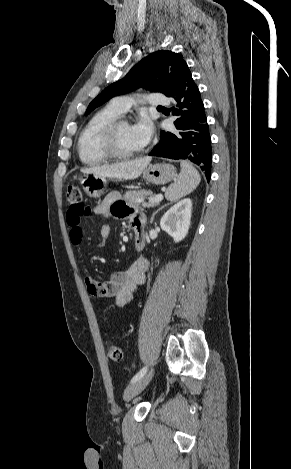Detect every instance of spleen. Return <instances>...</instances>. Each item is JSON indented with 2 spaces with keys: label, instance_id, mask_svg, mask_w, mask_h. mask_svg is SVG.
<instances>
[{
  "label": "spleen",
  "instance_id": "spleen-1",
  "mask_svg": "<svg viewBox=\"0 0 291 469\" xmlns=\"http://www.w3.org/2000/svg\"><path fill=\"white\" fill-rule=\"evenodd\" d=\"M181 172L178 178L165 192L167 200L173 202L190 194L201 182V176L196 168L188 161L180 162Z\"/></svg>",
  "mask_w": 291,
  "mask_h": 469
}]
</instances>
